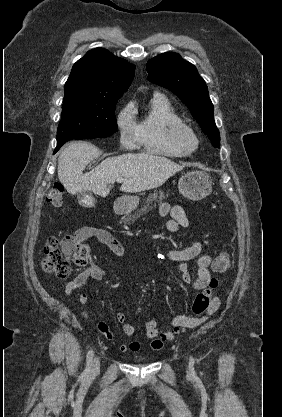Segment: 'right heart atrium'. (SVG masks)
I'll list each match as a JSON object with an SVG mask.
<instances>
[{
	"mask_svg": "<svg viewBox=\"0 0 282 417\" xmlns=\"http://www.w3.org/2000/svg\"><path fill=\"white\" fill-rule=\"evenodd\" d=\"M121 132V142L126 148H134L138 144L137 126L129 115V110L122 113L118 121Z\"/></svg>",
	"mask_w": 282,
	"mask_h": 417,
	"instance_id": "right-heart-atrium-1",
	"label": "right heart atrium"
}]
</instances>
